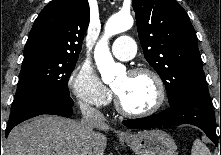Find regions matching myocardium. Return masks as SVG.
<instances>
[{
	"label": "myocardium",
	"instance_id": "myocardium-1",
	"mask_svg": "<svg viewBox=\"0 0 221 155\" xmlns=\"http://www.w3.org/2000/svg\"><path fill=\"white\" fill-rule=\"evenodd\" d=\"M127 73L129 75L147 74L151 76L153 80L155 81V84L157 87V100L155 104L148 110L141 111V112H134L125 108L119 95L114 90L115 105H116L117 110L124 116L134 117V118H144V117L154 115L156 112H158L161 109L166 99V89H165V84H164L163 79L155 70L149 67L132 68Z\"/></svg>",
	"mask_w": 221,
	"mask_h": 155
}]
</instances>
